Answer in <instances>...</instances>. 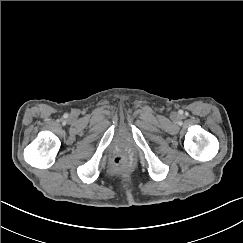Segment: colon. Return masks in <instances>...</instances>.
<instances>
[{"label": "colon", "mask_w": 243, "mask_h": 243, "mask_svg": "<svg viewBox=\"0 0 243 243\" xmlns=\"http://www.w3.org/2000/svg\"><path fill=\"white\" fill-rule=\"evenodd\" d=\"M130 167V161L123 156L115 157L111 162V169L115 171L127 170Z\"/></svg>", "instance_id": "1"}]
</instances>
